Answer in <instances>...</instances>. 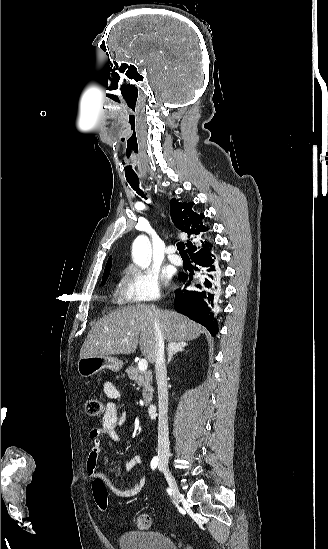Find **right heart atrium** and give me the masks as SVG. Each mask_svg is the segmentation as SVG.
Masks as SVG:
<instances>
[{"instance_id":"d8ad5b80","label":"right heart atrium","mask_w":328,"mask_h":549,"mask_svg":"<svg viewBox=\"0 0 328 549\" xmlns=\"http://www.w3.org/2000/svg\"><path fill=\"white\" fill-rule=\"evenodd\" d=\"M123 286L133 303H155L161 297L160 276L149 267L128 265L123 271Z\"/></svg>"}]
</instances>
